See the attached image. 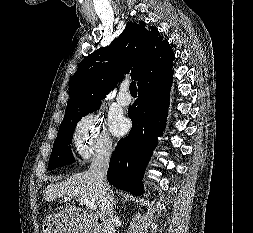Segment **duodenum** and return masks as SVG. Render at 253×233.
Masks as SVG:
<instances>
[{
	"label": "duodenum",
	"mask_w": 253,
	"mask_h": 233,
	"mask_svg": "<svg viewBox=\"0 0 253 233\" xmlns=\"http://www.w3.org/2000/svg\"><path fill=\"white\" fill-rule=\"evenodd\" d=\"M110 229L111 226L107 223V221L104 220V218H102L101 215H95L91 217L87 224V231L89 233H106Z\"/></svg>",
	"instance_id": "obj_1"
}]
</instances>
